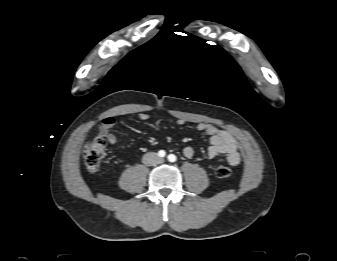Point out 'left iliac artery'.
I'll return each instance as SVG.
<instances>
[{
  "mask_svg": "<svg viewBox=\"0 0 337 261\" xmlns=\"http://www.w3.org/2000/svg\"><path fill=\"white\" fill-rule=\"evenodd\" d=\"M176 156L174 155V154H170V155H168V160L170 161V162H175L176 161Z\"/></svg>",
  "mask_w": 337,
  "mask_h": 261,
  "instance_id": "44dca946",
  "label": "left iliac artery"
}]
</instances>
